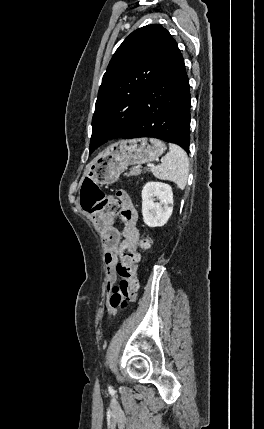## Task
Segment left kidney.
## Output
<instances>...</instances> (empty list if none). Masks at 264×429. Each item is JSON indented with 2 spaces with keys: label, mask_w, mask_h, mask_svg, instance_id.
Listing matches in <instances>:
<instances>
[{
  "label": "left kidney",
  "mask_w": 264,
  "mask_h": 429,
  "mask_svg": "<svg viewBox=\"0 0 264 429\" xmlns=\"http://www.w3.org/2000/svg\"><path fill=\"white\" fill-rule=\"evenodd\" d=\"M159 202H154L156 199ZM173 212V192L170 185L147 182L142 189V215L149 227H162Z\"/></svg>",
  "instance_id": "obj_1"
}]
</instances>
